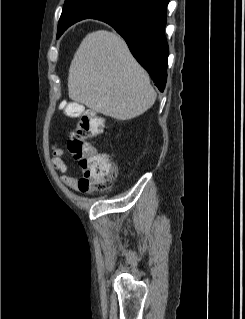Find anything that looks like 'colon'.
<instances>
[{
    "label": "colon",
    "mask_w": 245,
    "mask_h": 319,
    "mask_svg": "<svg viewBox=\"0 0 245 319\" xmlns=\"http://www.w3.org/2000/svg\"><path fill=\"white\" fill-rule=\"evenodd\" d=\"M65 113L78 120L67 139V150L81 169L79 189L82 192L109 191L117 176V168L110 158L88 143L92 137L103 133L104 120L91 113L83 112L80 104L69 102Z\"/></svg>",
    "instance_id": "obj_1"
}]
</instances>
